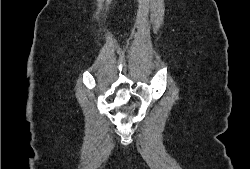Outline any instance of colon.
Here are the masks:
<instances>
[{
	"mask_svg": "<svg viewBox=\"0 0 250 169\" xmlns=\"http://www.w3.org/2000/svg\"><path fill=\"white\" fill-rule=\"evenodd\" d=\"M129 104L127 103V102H122V107H124L123 109L125 110L126 108L125 107H127ZM131 109V108H130ZM125 115H130V110H125ZM128 119L130 118L129 116L127 117Z\"/></svg>",
	"mask_w": 250,
	"mask_h": 169,
	"instance_id": "1",
	"label": "colon"
}]
</instances>
